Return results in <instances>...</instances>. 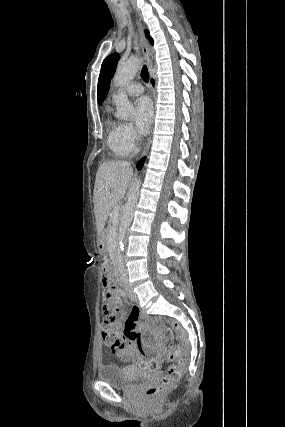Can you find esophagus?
<instances>
[{"label":"esophagus","instance_id":"1","mask_svg":"<svg viewBox=\"0 0 285 427\" xmlns=\"http://www.w3.org/2000/svg\"><path fill=\"white\" fill-rule=\"evenodd\" d=\"M136 22H137V27H138V31H139V40H140V46L142 49V54H143V57H144V60L146 62L147 67L151 68L152 67V60L150 58L151 48H150V45H149L147 39L145 38L144 31H143V25H142L141 21L137 19ZM153 97H154V91H153ZM150 142H151V136L149 137L147 146L144 149V151L142 152L141 157H143L147 154L148 149L150 147Z\"/></svg>","mask_w":285,"mask_h":427}]
</instances>
